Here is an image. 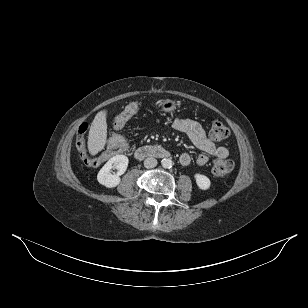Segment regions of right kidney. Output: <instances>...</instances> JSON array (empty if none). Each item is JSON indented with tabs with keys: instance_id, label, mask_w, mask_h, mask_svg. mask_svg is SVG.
Listing matches in <instances>:
<instances>
[{
	"instance_id": "1",
	"label": "right kidney",
	"mask_w": 308,
	"mask_h": 308,
	"mask_svg": "<svg viewBox=\"0 0 308 308\" xmlns=\"http://www.w3.org/2000/svg\"><path fill=\"white\" fill-rule=\"evenodd\" d=\"M128 163V157L125 155L113 156L99 171L97 175L98 182L107 188L116 187L121 181L120 176L127 170ZM112 168L117 169V173L112 174Z\"/></svg>"
}]
</instances>
